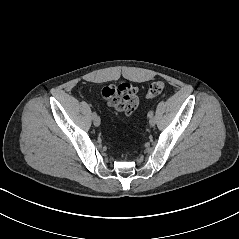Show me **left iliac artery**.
<instances>
[{"label":"left iliac artery","instance_id":"1","mask_svg":"<svg viewBox=\"0 0 239 239\" xmlns=\"http://www.w3.org/2000/svg\"><path fill=\"white\" fill-rule=\"evenodd\" d=\"M153 114H154L153 110H150V111L148 112L147 116H148L149 118H151V117H153Z\"/></svg>","mask_w":239,"mask_h":239}]
</instances>
